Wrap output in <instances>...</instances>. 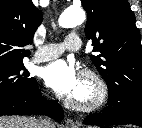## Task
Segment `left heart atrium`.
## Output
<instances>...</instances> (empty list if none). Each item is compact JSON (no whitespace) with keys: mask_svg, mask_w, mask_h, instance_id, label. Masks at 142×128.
I'll return each instance as SVG.
<instances>
[{"mask_svg":"<svg viewBox=\"0 0 142 128\" xmlns=\"http://www.w3.org/2000/svg\"><path fill=\"white\" fill-rule=\"evenodd\" d=\"M43 79L46 86L63 96H73L82 81L75 67L64 60H56L45 67Z\"/></svg>","mask_w":142,"mask_h":128,"instance_id":"obj_1","label":"left heart atrium"}]
</instances>
